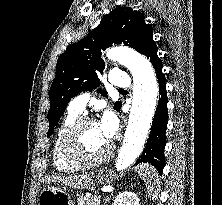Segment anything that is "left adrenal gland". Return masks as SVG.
Segmentation results:
<instances>
[{"mask_svg": "<svg viewBox=\"0 0 222 205\" xmlns=\"http://www.w3.org/2000/svg\"><path fill=\"white\" fill-rule=\"evenodd\" d=\"M109 200H110L109 197L105 198V200H104V205H106V204L109 202Z\"/></svg>", "mask_w": 222, "mask_h": 205, "instance_id": "obj_1", "label": "left adrenal gland"}]
</instances>
